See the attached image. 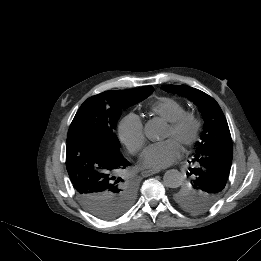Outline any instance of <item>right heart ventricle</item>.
<instances>
[{"label": "right heart ventricle", "instance_id": "e07e8e85", "mask_svg": "<svg viewBox=\"0 0 261 261\" xmlns=\"http://www.w3.org/2000/svg\"><path fill=\"white\" fill-rule=\"evenodd\" d=\"M152 112L165 121H172L186 110L183 103L173 98H161L151 106Z\"/></svg>", "mask_w": 261, "mask_h": 261}]
</instances>
